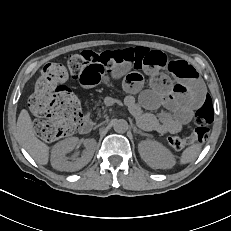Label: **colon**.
Returning a JSON list of instances; mask_svg holds the SVG:
<instances>
[{"mask_svg":"<svg viewBox=\"0 0 231 231\" xmlns=\"http://www.w3.org/2000/svg\"><path fill=\"white\" fill-rule=\"evenodd\" d=\"M155 57L149 49L136 47L124 50L103 52L83 51L71 55L67 65L48 63L36 82L30 96L29 107L40 118L36 124V133L44 141L50 142L72 134L80 127L83 118L80 105L64 82L69 74L78 79L89 66H99L113 70L123 66L141 69ZM178 76L179 73L174 71ZM213 119L212 106L207 102L195 112V128L189 136H170L168 144L181 150L194 144H201L209 134V125Z\"/></svg>","mask_w":231,"mask_h":231,"instance_id":"1","label":"colon"}]
</instances>
